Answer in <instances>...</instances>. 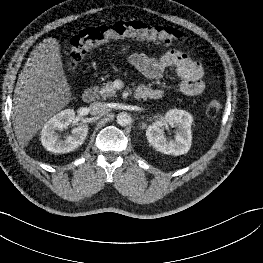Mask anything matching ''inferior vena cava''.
<instances>
[{
  "label": "inferior vena cava",
  "mask_w": 263,
  "mask_h": 263,
  "mask_svg": "<svg viewBox=\"0 0 263 263\" xmlns=\"http://www.w3.org/2000/svg\"><path fill=\"white\" fill-rule=\"evenodd\" d=\"M106 109V104L103 102H93L89 106L90 113L93 115L100 114Z\"/></svg>",
  "instance_id": "1"
}]
</instances>
